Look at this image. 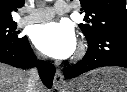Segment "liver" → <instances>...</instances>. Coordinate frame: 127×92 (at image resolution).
<instances>
[{
  "mask_svg": "<svg viewBox=\"0 0 127 92\" xmlns=\"http://www.w3.org/2000/svg\"><path fill=\"white\" fill-rule=\"evenodd\" d=\"M29 73L0 63V92H27ZM37 92H48L44 85L37 84Z\"/></svg>",
  "mask_w": 127,
  "mask_h": 92,
  "instance_id": "6515ba94",
  "label": "liver"
}]
</instances>
